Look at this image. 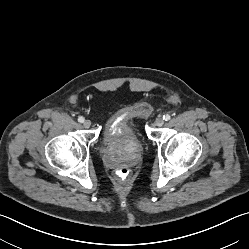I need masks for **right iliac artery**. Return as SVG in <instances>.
<instances>
[{
  "mask_svg": "<svg viewBox=\"0 0 249 249\" xmlns=\"http://www.w3.org/2000/svg\"><path fill=\"white\" fill-rule=\"evenodd\" d=\"M84 117H82V116H80L79 118H78V122H80V123H83L84 122Z\"/></svg>",
  "mask_w": 249,
  "mask_h": 249,
  "instance_id": "82829eb1",
  "label": "right iliac artery"
}]
</instances>
